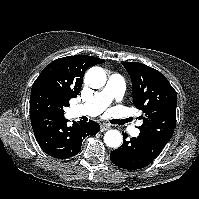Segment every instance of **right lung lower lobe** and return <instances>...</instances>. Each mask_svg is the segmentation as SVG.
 <instances>
[{
	"label": "right lung lower lobe",
	"instance_id": "98d812e1",
	"mask_svg": "<svg viewBox=\"0 0 199 199\" xmlns=\"http://www.w3.org/2000/svg\"><path fill=\"white\" fill-rule=\"evenodd\" d=\"M30 116L38 144L45 153L58 159L78 154L83 139L88 135H95L100 129L99 124L94 121L69 126L64 116L49 113H36Z\"/></svg>",
	"mask_w": 199,
	"mask_h": 199
}]
</instances>
